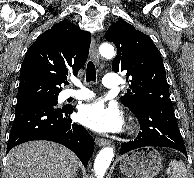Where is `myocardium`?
Here are the masks:
<instances>
[{
  "mask_svg": "<svg viewBox=\"0 0 194 178\" xmlns=\"http://www.w3.org/2000/svg\"><path fill=\"white\" fill-rule=\"evenodd\" d=\"M128 128H129L130 132H133L135 130V125L133 123H130L128 125Z\"/></svg>",
  "mask_w": 194,
  "mask_h": 178,
  "instance_id": "myocardium-1",
  "label": "myocardium"
}]
</instances>
